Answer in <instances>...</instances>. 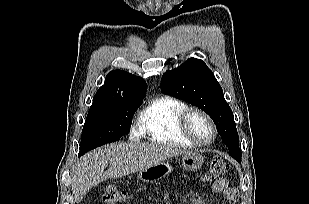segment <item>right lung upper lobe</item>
Segmentation results:
<instances>
[{
    "label": "right lung upper lobe",
    "instance_id": "obj_1",
    "mask_svg": "<svg viewBox=\"0 0 309 204\" xmlns=\"http://www.w3.org/2000/svg\"><path fill=\"white\" fill-rule=\"evenodd\" d=\"M143 78L126 71L113 70L106 76L105 83L96 92L93 104H102L120 99H143L146 95Z\"/></svg>",
    "mask_w": 309,
    "mask_h": 204
}]
</instances>
